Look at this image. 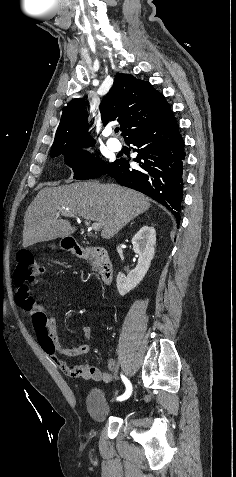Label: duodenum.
Masks as SVG:
<instances>
[{
  "label": "duodenum",
  "mask_w": 236,
  "mask_h": 477,
  "mask_svg": "<svg viewBox=\"0 0 236 477\" xmlns=\"http://www.w3.org/2000/svg\"><path fill=\"white\" fill-rule=\"evenodd\" d=\"M66 246L76 252L81 258L92 259L99 270L101 281L108 285L113 278V265L106 250L102 247L87 248L74 240H68Z\"/></svg>",
  "instance_id": "1"
}]
</instances>
